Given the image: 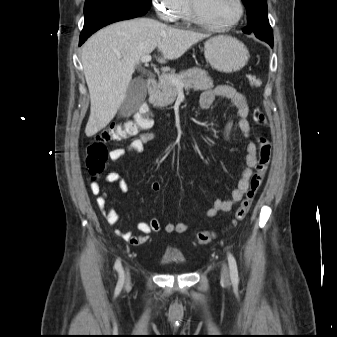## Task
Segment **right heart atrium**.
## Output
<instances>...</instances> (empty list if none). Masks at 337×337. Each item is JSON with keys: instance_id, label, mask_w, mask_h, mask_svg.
I'll list each match as a JSON object with an SVG mask.
<instances>
[{"instance_id": "d8ad5b80", "label": "right heart atrium", "mask_w": 337, "mask_h": 337, "mask_svg": "<svg viewBox=\"0 0 337 337\" xmlns=\"http://www.w3.org/2000/svg\"><path fill=\"white\" fill-rule=\"evenodd\" d=\"M158 16L166 22L178 20L184 0H152Z\"/></svg>"}]
</instances>
